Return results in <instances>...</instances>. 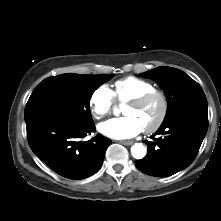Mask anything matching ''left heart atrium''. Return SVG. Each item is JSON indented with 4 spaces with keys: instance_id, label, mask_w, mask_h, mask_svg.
<instances>
[{
    "instance_id": "39dd6f15",
    "label": "left heart atrium",
    "mask_w": 221,
    "mask_h": 221,
    "mask_svg": "<svg viewBox=\"0 0 221 221\" xmlns=\"http://www.w3.org/2000/svg\"><path fill=\"white\" fill-rule=\"evenodd\" d=\"M98 130L113 139H128L138 135L143 127L135 117L124 116L100 123Z\"/></svg>"
}]
</instances>
